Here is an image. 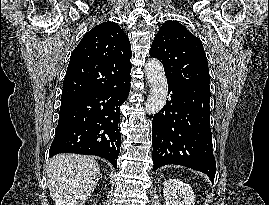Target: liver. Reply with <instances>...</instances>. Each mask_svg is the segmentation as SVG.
<instances>
[{
	"label": "liver",
	"mask_w": 269,
	"mask_h": 205,
	"mask_svg": "<svg viewBox=\"0 0 269 205\" xmlns=\"http://www.w3.org/2000/svg\"><path fill=\"white\" fill-rule=\"evenodd\" d=\"M100 175L94 158L59 154L50 160L47 181L55 205H83L94 191Z\"/></svg>",
	"instance_id": "1"
}]
</instances>
